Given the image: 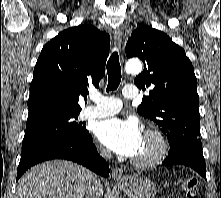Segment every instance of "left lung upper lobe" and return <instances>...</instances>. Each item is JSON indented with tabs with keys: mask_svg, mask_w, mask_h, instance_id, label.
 <instances>
[{
	"mask_svg": "<svg viewBox=\"0 0 221 198\" xmlns=\"http://www.w3.org/2000/svg\"><path fill=\"white\" fill-rule=\"evenodd\" d=\"M127 57H139L143 72L134 83L150 89L138 113L167 135L171 146L200 140L199 96L194 69L185 51L151 26L138 27L126 44Z\"/></svg>",
	"mask_w": 221,
	"mask_h": 198,
	"instance_id": "left-lung-upper-lobe-1",
	"label": "left lung upper lobe"
}]
</instances>
